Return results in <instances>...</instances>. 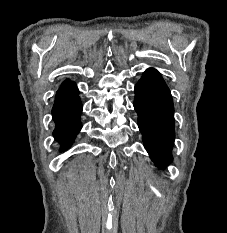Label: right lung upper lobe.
I'll use <instances>...</instances> for the list:
<instances>
[{"label": "right lung upper lobe", "mask_w": 227, "mask_h": 233, "mask_svg": "<svg viewBox=\"0 0 227 233\" xmlns=\"http://www.w3.org/2000/svg\"><path fill=\"white\" fill-rule=\"evenodd\" d=\"M68 83H70V82H68V80H66V81L63 82V85H62V86L66 85V84H68Z\"/></svg>", "instance_id": "obj_1"}]
</instances>
